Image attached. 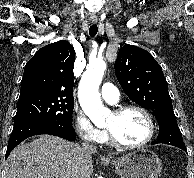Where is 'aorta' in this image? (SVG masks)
Listing matches in <instances>:
<instances>
[{
  "label": "aorta",
  "instance_id": "1",
  "mask_svg": "<svg viewBox=\"0 0 194 178\" xmlns=\"http://www.w3.org/2000/svg\"><path fill=\"white\" fill-rule=\"evenodd\" d=\"M105 69L106 63L102 59L89 63L79 84L78 97L80 105L85 114L95 124L104 122L108 113V110L102 105L99 93V85Z\"/></svg>",
  "mask_w": 194,
  "mask_h": 178
}]
</instances>
